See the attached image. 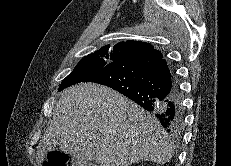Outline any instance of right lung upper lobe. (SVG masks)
I'll list each match as a JSON object with an SVG mask.
<instances>
[{"mask_svg": "<svg viewBox=\"0 0 231 166\" xmlns=\"http://www.w3.org/2000/svg\"><path fill=\"white\" fill-rule=\"evenodd\" d=\"M155 50L154 47L146 42L128 40L126 42H120L113 47L110 45H105L100 50L96 51L98 53H107L115 56L117 59L123 57L138 55L146 52Z\"/></svg>", "mask_w": 231, "mask_h": 166, "instance_id": "1", "label": "right lung upper lobe"}]
</instances>
